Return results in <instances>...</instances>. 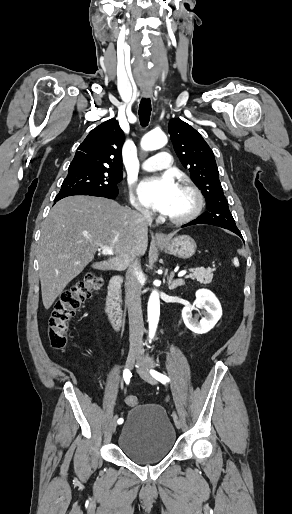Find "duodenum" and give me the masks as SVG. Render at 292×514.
<instances>
[{
	"label": "duodenum",
	"mask_w": 292,
	"mask_h": 514,
	"mask_svg": "<svg viewBox=\"0 0 292 514\" xmlns=\"http://www.w3.org/2000/svg\"><path fill=\"white\" fill-rule=\"evenodd\" d=\"M122 283L123 278L119 275H115L110 279L108 285L106 307L111 323L115 327H120L123 322V315L120 304V292Z\"/></svg>",
	"instance_id": "obj_1"
}]
</instances>
